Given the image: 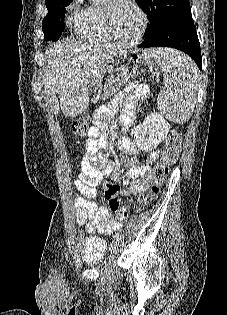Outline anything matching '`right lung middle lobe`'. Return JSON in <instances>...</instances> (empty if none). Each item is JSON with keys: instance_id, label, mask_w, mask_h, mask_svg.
Returning a JSON list of instances; mask_svg holds the SVG:
<instances>
[{"instance_id": "obj_1", "label": "right lung middle lobe", "mask_w": 227, "mask_h": 315, "mask_svg": "<svg viewBox=\"0 0 227 315\" xmlns=\"http://www.w3.org/2000/svg\"><path fill=\"white\" fill-rule=\"evenodd\" d=\"M73 0L45 1L48 14L42 21L44 38L47 41H56L64 30L65 7Z\"/></svg>"}]
</instances>
